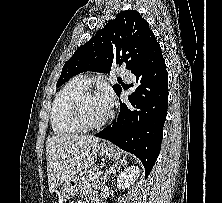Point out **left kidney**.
Masks as SVG:
<instances>
[{
  "mask_svg": "<svg viewBox=\"0 0 222 203\" xmlns=\"http://www.w3.org/2000/svg\"><path fill=\"white\" fill-rule=\"evenodd\" d=\"M140 169L136 165L125 168L117 177V187L125 190L139 177Z\"/></svg>",
  "mask_w": 222,
  "mask_h": 203,
  "instance_id": "obj_1",
  "label": "left kidney"
}]
</instances>
